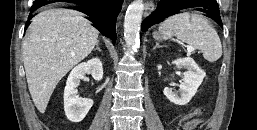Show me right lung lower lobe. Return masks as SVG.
<instances>
[{"label":"right lung lower lobe","mask_w":257,"mask_h":130,"mask_svg":"<svg viewBox=\"0 0 257 130\" xmlns=\"http://www.w3.org/2000/svg\"><path fill=\"white\" fill-rule=\"evenodd\" d=\"M46 4L48 3L35 0L31 7V13ZM81 6L84 7V10H81V12L88 15L86 18L93 22V26L97 28L104 36L112 39L114 44L116 41L115 23L117 15L122 6V1L95 0ZM29 24L30 22L27 21L25 28H27Z\"/></svg>","instance_id":"98d812e1"}]
</instances>
